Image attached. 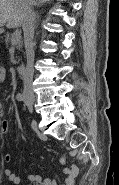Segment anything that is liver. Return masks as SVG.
Here are the masks:
<instances>
[{
    "instance_id": "obj_1",
    "label": "liver",
    "mask_w": 119,
    "mask_h": 185,
    "mask_svg": "<svg viewBox=\"0 0 119 185\" xmlns=\"http://www.w3.org/2000/svg\"><path fill=\"white\" fill-rule=\"evenodd\" d=\"M50 0H41V3ZM30 4H36L35 1L29 0ZM25 6L23 0H0V27L5 23L8 28L19 27L24 20Z\"/></svg>"
}]
</instances>
